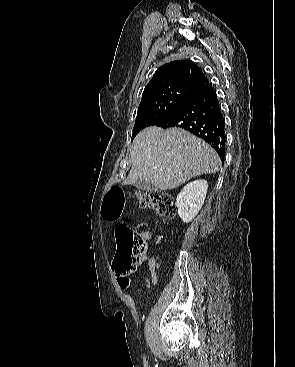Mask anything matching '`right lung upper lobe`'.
I'll return each mask as SVG.
<instances>
[{
    "label": "right lung upper lobe",
    "instance_id": "cb5924a9",
    "mask_svg": "<svg viewBox=\"0 0 295 367\" xmlns=\"http://www.w3.org/2000/svg\"><path fill=\"white\" fill-rule=\"evenodd\" d=\"M208 83L201 69L193 62L173 61L156 70L153 78L146 85L142 98L175 87L187 88L195 92Z\"/></svg>",
    "mask_w": 295,
    "mask_h": 367
}]
</instances>
